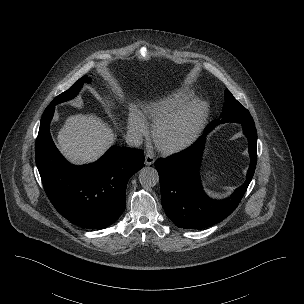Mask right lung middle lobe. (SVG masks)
Segmentation results:
<instances>
[{
	"label": "right lung middle lobe",
	"mask_w": 304,
	"mask_h": 304,
	"mask_svg": "<svg viewBox=\"0 0 304 304\" xmlns=\"http://www.w3.org/2000/svg\"><path fill=\"white\" fill-rule=\"evenodd\" d=\"M85 82H90V78H88L87 75L76 81L67 91L57 96L50 104L56 105L60 102L74 98L80 91L83 83Z\"/></svg>",
	"instance_id": "dd1d6c3e"
}]
</instances>
